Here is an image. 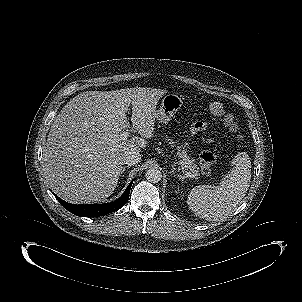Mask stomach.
<instances>
[{
    "label": "stomach",
    "instance_id": "0dacf381",
    "mask_svg": "<svg viewBox=\"0 0 302 302\" xmlns=\"http://www.w3.org/2000/svg\"><path fill=\"white\" fill-rule=\"evenodd\" d=\"M183 105L182 98L175 93L165 95L160 104V108L156 111V119L162 123H167L173 115L181 109Z\"/></svg>",
    "mask_w": 302,
    "mask_h": 302
}]
</instances>
